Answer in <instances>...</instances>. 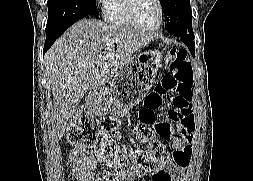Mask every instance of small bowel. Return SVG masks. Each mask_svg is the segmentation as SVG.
Returning <instances> with one entry per match:
<instances>
[{
  "label": "small bowel",
  "instance_id": "c3829d8e",
  "mask_svg": "<svg viewBox=\"0 0 253 181\" xmlns=\"http://www.w3.org/2000/svg\"><path fill=\"white\" fill-rule=\"evenodd\" d=\"M177 137L173 142V157L167 162H163L159 167H150L151 178L148 181H185L186 173L193 153V125L192 117H188L184 122L172 125ZM111 133L120 137L115 128H111ZM68 165L75 179L78 181H133L135 172L126 170L122 173L98 172L96 171L97 161L93 154H87L74 147L69 150Z\"/></svg>",
  "mask_w": 253,
  "mask_h": 181
}]
</instances>
